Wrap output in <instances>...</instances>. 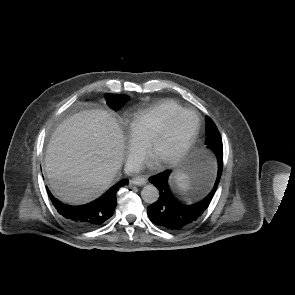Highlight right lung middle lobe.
Returning <instances> with one entry per match:
<instances>
[{"label": "right lung middle lobe", "instance_id": "right-lung-middle-lobe-1", "mask_svg": "<svg viewBox=\"0 0 295 295\" xmlns=\"http://www.w3.org/2000/svg\"><path fill=\"white\" fill-rule=\"evenodd\" d=\"M105 97L107 104L115 111L119 110L129 100L126 95L107 94Z\"/></svg>", "mask_w": 295, "mask_h": 295}]
</instances>
